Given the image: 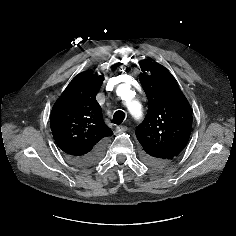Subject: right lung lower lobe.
<instances>
[{
  "label": "right lung lower lobe",
  "instance_id": "1",
  "mask_svg": "<svg viewBox=\"0 0 236 236\" xmlns=\"http://www.w3.org/2000/svg\"><path fill=\"white\" fill-rule=\"evenodd\" d=\"M105 140L98 143L90 152L82 156H68L69 160L78 166H90L97 163L104 155Z\"/></svg>",
  "mask_w": 236,
  "mask_h": 236
}]
</instances>
